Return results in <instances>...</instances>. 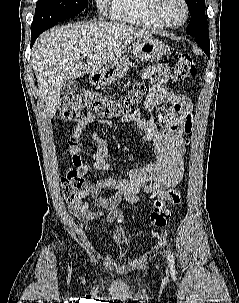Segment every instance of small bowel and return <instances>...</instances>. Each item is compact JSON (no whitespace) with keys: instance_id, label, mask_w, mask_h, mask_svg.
<instances>
[{"instance_id":"obj_1","label":"small bowel","mask_w":239,"mask_h":303,"mask_svg":"<svg viewBox=\"0 0 239 303\" xmlns=\"http://www.w3.org/2000/svg\"><path fill=\"white\" fill-rule=\"evenodd\" d=\"M168 65L152 66L142 73L144 81L151 84L147 100L146 114L162 103H168L172 110L164 117V130H160L155 120L150 116L135 114L127 117L135 121L144 132L145 140L153 148L155 158L152 162L131 168L126 177L120 175L105 176L97 182L90 183L77 195L75 203L69 206L70 212L79 220L89 222L103 216L102 211L89 208L88 198L95 204L109 210L107 223L122 221V212L118 204L122 198L130 203L140 200V192L154 197L170 188L176 187L183 178L185 146L182 140L183 126L180 116L190 108L185 96L177 95L167 86ZM97 118L93 113H87L76 125L68 138L69 153L76 171L83 177L92 170L113 173L114 167L107 161L110 142L106 138L97 139V150L92 154L90 162H84L81 156L83 149L82 136L88 128H92ZM116 191L113 195H103V189Z\"/></svg>"}]
</instances>
